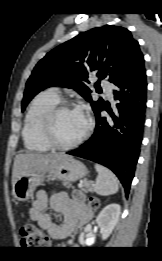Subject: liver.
<instances>
[{
    "instance_id": "obj_1",
    "label": "liver",
    "mask_w": 162,
    "mask_h": 261,
    "mask_svg": "<svg viewBox=\"0 0 162 261\" xmlns=\"http://www.w3.org/2000/svg\"><path fill=\"white\" fill-rule=\"evenodd\" d=\"M68 155L64 153L38 154L24 153L15 157L12 171V186L22 176L33 173H48Z\"/></svg>"
}]
</instances>
